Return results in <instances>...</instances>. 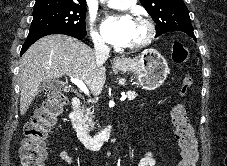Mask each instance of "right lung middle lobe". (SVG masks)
I'll return each mask as SVG.
<instances>
[{
  "label": "right lung middle lobe",
  "instance_id": "dd1d6c3e",
  "mask_svg": "<svg viewBox=\"0 0 227 166\" xmlns=\"http://www.w3.org/2000/svg\"><path fill=\"white\" fill-rule=\"evenodd\" d=\"M85 6L39 4L34 6L33 21L27 38L49 31H70L86 35Z\"/></svg>",
  "mask_w": 227,
  "mask_h": 166
}]
</instances>
